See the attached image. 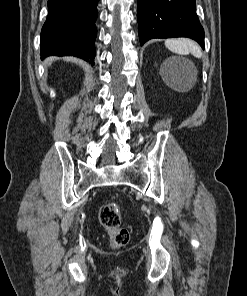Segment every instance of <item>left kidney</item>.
<instances>
[{"label":"left kidney","mask_w":247,"mask_h":296,"mask_svg":"<svg viewBox=\"0 0 247 296\" xmlns=\"http://www.w3.org/2000/svg\"><path fill=\"white\" fill-rule=\"evenodd\" d=\"M177 62H180V60H178V59H168L166 61L168 66H170L171 68H174V67L177 68L178 67ZM179 66L181 67V65H179Z\"/></svg>","instance_id":"5707ae66"}]
</instances>
